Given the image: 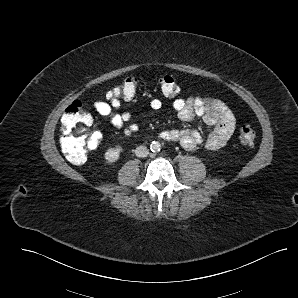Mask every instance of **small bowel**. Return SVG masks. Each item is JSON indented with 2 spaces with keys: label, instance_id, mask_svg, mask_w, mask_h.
I'll return each mask as SVG.
<instances>
[{
  "label": "small bowel",
  "instance_id": "1",
  "mask_svg": "<svg viewBox=\"0 0 298 298\" xmlns=\"http://www.w3.org/2000/svg\"><path fill=\"white\" fill-rule=\"evenodd\" d=\"M106 99L94 102L95 112L100 116L107 117L115 128L123 131L125 136L129 137L135 134L139 130V126L132 122V113L119 111L121 103L118 98L107 94ZM162 106L160 99L155 98L150 101V108L153 111L160 110ZM172 106L180 120L188 122L195 117H200L209 128H212L206 137L193 129H171L161 133L162 138L177 141L188 151L196 150L200 146L209 150L220 149L234 132L235 116L231 109L217 98L197 94L188 98H176Z\"/></svg>",
  "mask_w": 298,
  "mask_h": 298
}]
</instances>
